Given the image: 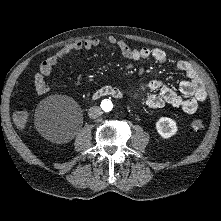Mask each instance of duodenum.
Listing matches in <instances>:
<instances>
[{
    "instance_id": "obj_1",
    "label": "duodenum",
    "mask_w": 221,
    "mask_h": 221,
    "mask_svg": "<svg viewBox=\"0 0 221 221\" xmlns=\"http://www.w3.org/2000/svg\"><path fill=\"white\" fill-rule=\"evenodd\" d=\"M102 96H112L120 99L122 98V92L116 87L104 86L94 94V98H99Z\"/></svg>"
}]
</instances>
